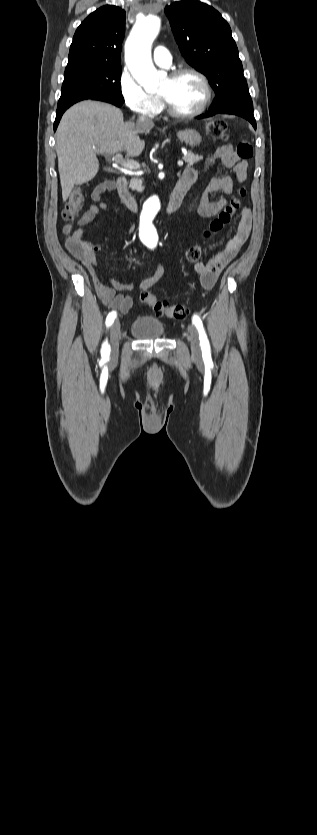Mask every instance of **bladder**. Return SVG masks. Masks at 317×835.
I'll return each instance as SVG.
<instances>
[{
  "mask_svg": "<svg viewBox=\"0 0 317 835\" xmlns=\"http://www.w3.org/2000/svg\"><path fill=\"white\" fill-rule=\"evenodd\" d=\"M131 333L140 339H157L165 335V326L152 316H140L131 325Z\"/></svg>",
  "mask_w": 317,
  "mask_h": 835,
  "instance_id": "bladder-1",
  "label": "bladder"
}]
</instances>
